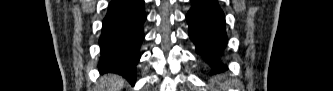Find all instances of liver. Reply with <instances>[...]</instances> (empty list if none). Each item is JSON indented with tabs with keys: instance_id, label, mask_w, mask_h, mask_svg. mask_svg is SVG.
Masks as SVG:
<instances>
[{
	"instance_id": "6515ba94",
	"label": "liver",
	"mask_w": 333,
	"mask_h": 91,
	"mask_svg": "<svg viewBox=\"0 0 333 91\" xmlns=\"http://www.w3.org/2000/svg\"><path fill=\"white\" fill-rule=\"evenodd\" d=\"M124 79L115 74H108L100 79L98 89L100 91H120L124 86Z\"/></svg>"
}]
</instances>
